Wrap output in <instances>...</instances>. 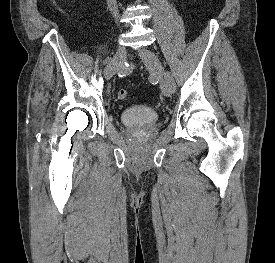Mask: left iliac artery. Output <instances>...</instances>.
<instances>
[{
  "instance_id": "44dca946",
  "label": "left iliac artery",
  "mask_w": 275,
  "mask_h": 263,
  "mask_svg": "<svg viewBox=\"0 0 275 263\" xmlns=\"http://www.w3.org/2000/svg\"><path fill=\"white\" fill-rule=\"evenodd\" d=\"M165 78L169 82V84L172 86L173 90L175 91L176 90V84L174 82V79H173L171 73L170 72H166Z\"/></svg>"
}]
</instances>
